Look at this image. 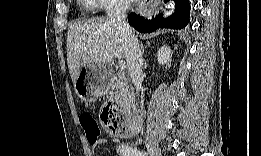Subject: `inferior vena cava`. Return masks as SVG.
<instances>
[{
	"label": "inferior vena cava",
	"mask_w": 261,
	"mask_h": 156,
	"mask_svg": "<svg viewBox=\"0 0 261 156\" xmlns=\"http://www.w3.org/2000/svg\"><path fill=\"white\" fill-rule=\"evenodd\" d=\"M128 7L129 2L126 0H111L106 8V12L111 23L125 39V58L132 83L138 93L143 82V58L138 40L126 20V11ZM136 126L137 121L136 119H133L131 121V128L135 129Z\"/></svg>",
	"instance_id": "inferior-vena-cava-1"
}]
</instances>
